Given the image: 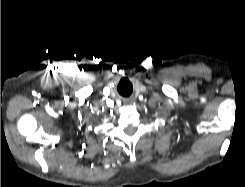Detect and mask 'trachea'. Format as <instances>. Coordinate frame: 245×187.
Here are the masks:
<instances>
[{
  "mask_svg": "<svg viewBox=\"0 0 245 187\" xmlns=\"http://www.w3.org/2000/svg\"><path fill=\"white\" fill-rule=\"evenodd\" d=\"M118 90L124 96L130 95V93L132 92V88L131 87H128L127 89H125V88H121V86L120 87L118 86Z\"/></svg>",
  "mask_w": 245,
  "mask_h": 187,
  "instance_id": "obj_1",
  "label": "trachea"
}]
</instances>
